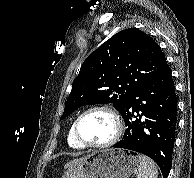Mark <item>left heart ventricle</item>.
<instances>
[{
	"instance_id": "left-heart-ventricle-1",
	"label": "left heart ventricle",
	"mask_w": 194,
	"mask_h": 178,
	"mask_svg": "<svg viewBox=\"0 0 194 178\" xmlns=\"http://www.w3.org/2000/svg\"><path fill=\"white\" fill-rule=\"evenodd\" d=\"M115 130L113 119L105 112L94 111L80 121L79 134L89 143H103L109 140Z\"/></svg>"
}]
</instances>
